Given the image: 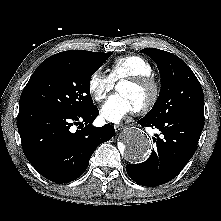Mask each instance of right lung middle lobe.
I'll use <instances>...</instances> for the list:
<instances>
[{
	"label": "right lung middle lobe",
	"mask_w": 221,
	"mask_h": 221,
	"mask_svg": "<svg viewBox=\"0 0 221 221\" xmlns=\"http://www.w3.org/2000/svg\"><path fill=\"white\" fill-rule=\"evenodd\" d=\"M111 55L112 52L98 53L88 62L49 57L23 89L20 106L48 107L74 115L93 109L90 79Z\"/></svg>",
	"instance_id": "1"
}]
</instances>
